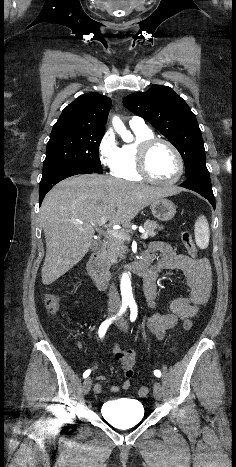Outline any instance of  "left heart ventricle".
I'll return each mask as SVG.
<instances>
[{"instance_id": "b2bd125f", "label": "left heart ventricle", "mask_w": 236, "mask_h": 467, "mask_svg": "<svg viewBox=\"0 0 236 467\" xmlns=\"http://www.w3.org/2000/svg\"><path fill=\"white\" fill-rule=\"evenodd\" d=\"M148 169L154 178L170 180L178 172V161L168 146L156 144L148 157Z\"/></svg>"}]
</instances>
